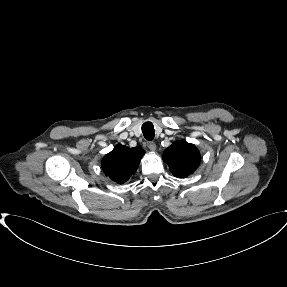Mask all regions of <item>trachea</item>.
Returning <instances> with one entry per match:
<instances>
[{
    "label": "trachea",
    "mask_w": 287,
    "mask_h": 287,
    "mask_svg": "<svg viewBox=\"0 0 287 287\" xmlns=\"http://www.w3.org/2000/svg\"><path fill=\"white\" fill-rule=\"evenodd\" d=\"M142 133L148 141H151L154 139V126L151 122H145L142 125Z\"/></svg>",
    "instance_id": "1"
}]
</instances>
